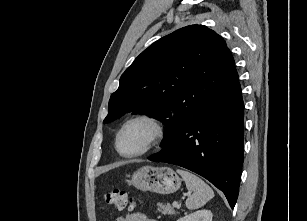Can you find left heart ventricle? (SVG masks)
<instances>
[{"label":"left heart ventricle","instance_id":"left-heart-ventricle-1","mask_svg":"<svg viewBox=\"0 0 307 221\" xmlns=\"http://www.w3.org/2000/svg\"><path fill=\"white\" fill-rule=\"evenodd\" d=\"M150 128L146 123H134L129 125L120 138V149L130 154L142 150L150 137Z\"/></svg>","mask_w":307,"mask_h":221}]
</instances>
